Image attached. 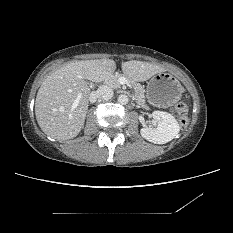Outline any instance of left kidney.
<instances>
[{"mask_svg":"<svg viewBox=\"0 0 233 233\" xmlns=\"http://www.w3.org/2000/svg\"><path fill=\"white\" fill-rule=\"evenodd\" d=\"M152 116L158 125L156 128H142L140 133L143 138L155 144H165L178 135L180 131L179 124L170 113L154 111Z\"/></svg>","mask_w":233,"mask_h":233,"instance_id":"1","label":"left kidney"}]
</instances>
